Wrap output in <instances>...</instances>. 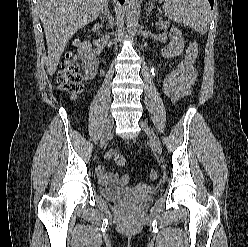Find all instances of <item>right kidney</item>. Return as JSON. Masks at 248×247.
Segmentation results:
<instances>
[{"label":"right kidney","mask_w":248,"mask_h":247,"mask_svg":"<svg viewBox=\"0 0 248 247\" xmlns=\"http://www.w3.org/2000/svg\"><path fill=\"white\" fill-rule=\"evenodd\" d=\"M78 55L82 60V66L85 69L84 79H93L98 71L99 61L93 53L92 46L89 42H85L79 46Z\"/></svg>","instance_id":"ca27d5eb"}]
</instances>
